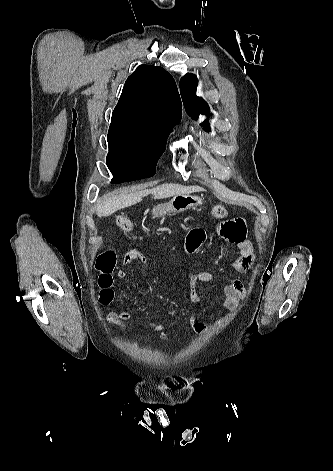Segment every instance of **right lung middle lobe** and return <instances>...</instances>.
Returning <instances> with one entry per match:
<instances>
[{
    "mask_svg": "<svg viewBox=\"0 0 333 471\" xmlns=\"http://www.w3.org/2000/svg\"><path fill=\"white\" fill-rule=\"evenodd\" d=\"M169 134L155 127L111 123L106 163L113 174L112 183L153 176Z\"/></svg>",
    "mask_w": 333,
    "mask_h": 471,
    "instance_id": "1",
    "label": "right lung middle lobe"
}]
</instances>
